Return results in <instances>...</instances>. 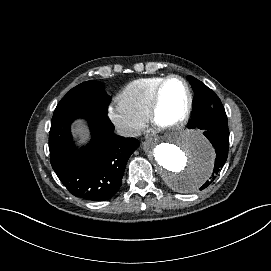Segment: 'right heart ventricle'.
I'll list each match as a JSON object with an SVG mask.
<instances>
[{"mask_svg": "<svg viewBox=\"0 0 271 271\" xmlns=\"http://www.w3.org/2000/svg\"><path fill=\"white\" fill-rule=\"evenodd\" d=\"M165 77L153 75L132 80L123 87L119 97L133 114L145 120L149 117L153 92Z\"/></svg>", "mask_w": 271, "mask_h": 271, "instance_id": "e07e8e85", "label": "right heart ventricle"}]
</instances>
